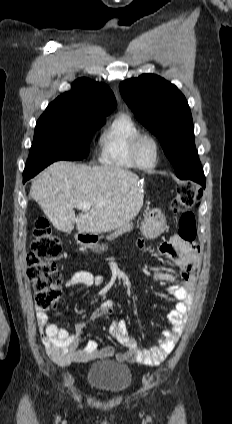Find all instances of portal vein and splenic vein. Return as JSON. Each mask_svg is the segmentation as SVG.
<instances>
[{"label": "portal vein and splenic vein", "instance_id": "obj_1", "mask_svg": "<svg viewBox=\"0 0 232 424\" xmlns=\"http://www.w3.org/2000/svg\"><path fill=\"white\" fill-rule=\"evenodd\" d=\"M75 207L83 211H88L90 210L91 205L89 203H78Z\"/></svg>", "mask_w": 232, "mask_h": 424}]
</instances>
